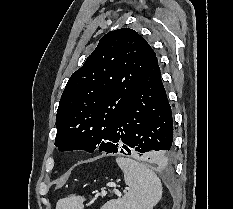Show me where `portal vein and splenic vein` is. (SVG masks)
Segmentation results:
<instances>
[{
  "label": "portal vein and splenic vein",
  "instance_id": "18ae733b",
  "mask_svg": "<svg viewBox=\"0 0 233 209\" xmlns=\"http://www.w3.org/2000/svg\"><path fill=\"white\" fill-rule=\"evenodd\" d=\"M126 191V190H125ZM114 193L117 195V196H121V192L117 189H114Z\"/></svg>",
  "mask_w": 233,
  "mask_h": 209
}]
</instances>
